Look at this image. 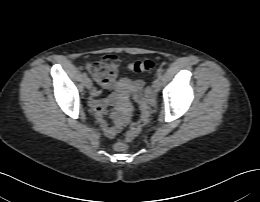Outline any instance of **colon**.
<instances>
[{"label": "colon", "mask_w": 260, "mask_h": 202, "mask_svg": "<svg viewBox=\"0 0 260 202\" xmlns=\"http://www.w3.org/2000/svg\"><path fill=\"white\" fill-rule=\"evenodd\" d=\"M152 67L153 63L151 60H142L132 64L131 70L140 73L150 70ZM118 68L119 62L117 57L114 55L105 56L100 61L90 62L86 65L88 73L99 82V84L113 81L118 72ZM143 89L144 83L142 81L137 82L134 86V100L141 108V119L131 125L129 131L125 134V137L122 140H118L113 144V148L117 152H126L128 150V142L138 136L142 127L148 122L151 116V106L144 95Z\"/></svg>", "instance_id": "1"}]
</instances>
